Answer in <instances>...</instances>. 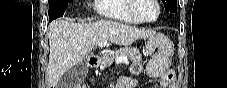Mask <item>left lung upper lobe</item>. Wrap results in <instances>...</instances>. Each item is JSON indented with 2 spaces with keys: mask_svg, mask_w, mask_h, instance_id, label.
<instances>
[{
  "mask_svg": "<svg viewBox=\"0 0 227 88\" xmlns=\"http://www.w3.org/2000/svg\"><path fill=\"white\" fill-rule=\"evenodd\" d=\"M166 12H176L177 11V0H162Z\"/></svg>",
  "mask_w": 227,
  "mask_h": 88,
  "instance_id": "5c2ea615",
  "label": "left lung upper lobe"
}]
</instances>
